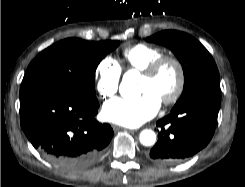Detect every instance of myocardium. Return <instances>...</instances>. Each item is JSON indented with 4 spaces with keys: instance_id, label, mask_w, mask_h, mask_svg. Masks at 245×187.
Wrapping results in <instances>:
<instances>
[{
    "instance_id": "obj_1",
    "label": "myocardium",
    "mask_w": 245,
    "mask_h": 187,
    "mask_svg": "<svg viewBox=\"0 0 245 187\" xmlns=\"http://www.w3.org/2000/svg\"><path fill=\"white\" fill-rule=\"evenodd\" d=\"M167 64H171L175 67L177 72V83L171 95L162 99L161 102L164 105H172L180 99L185 89L186 75L182 62L173 55H163L152 61L142 71V73L144 77L153 78L158 74L162 67H164Z\"/></svg>"
}]
</instances>
